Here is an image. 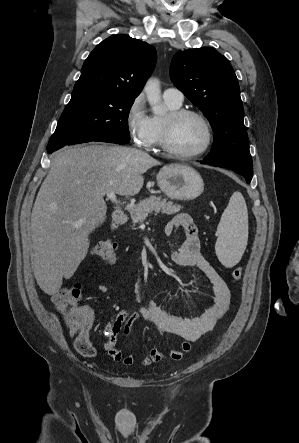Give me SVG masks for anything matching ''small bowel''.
I'll return each instance as SVG.
<instances>
[{"instance_id": "1", "label": "small bowel", "mask_w": 299, "mask_h": 443, "mask_svg": "<svg viewBox=\"0 0 299 443\" xmlns=\"http://www.w3.org/2000/svg\"><path fill=\"white\" fill-rule=\"evenodd\" d=\"M177 229L182 231L183 241L170 253L171 260L178 266L198 268L208 279L210 298L204 301L200 313L194 316L167 313L152 301L146 302L137 312L122 309L113 321L106 324L103 331L107 339L102 348L114 361L127 366L136 362L134 356H124L117 348V339L120 334H129L133 323L141 317L151 323L160 335H176L183 339L181 348L172 349L170 353L172 359L180 360L184 353L191 350L190 343L210 332L229 307L230 290L224 279L201 253L197 230L189 215H176L167 223L164 232L170 236ZM81 313L87 320L89 328L85 333L76 336L75 347L82 356L94 357L97 349L90 340L94 311L91 307L85 306L81 309ZM163 358L161 351L152 349L141 360V364L149 366L160 362Z\"/></svg>"}]
</instances>
